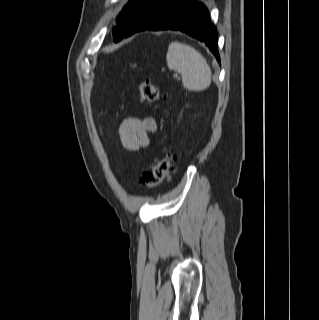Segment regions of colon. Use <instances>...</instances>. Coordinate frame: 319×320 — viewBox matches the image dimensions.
Here are the masks:
<instances>
[{
	"label": "colon",
	"mask_w": 319,
	"mask_h": 320,
	"mask_svg": "<svg viewBox=\"0 0 319 320\" xmlns=\"http://www.w3.org/2000/svg\"><path fill=\"white\" fill-rule=\"evenodd\" d=\"M140 97L143 101L155 102L161 99V93L157 84L151 79L143 80L139 85ZM175 162L170 156L155 159L143 172L141 184L146 187H155L170 179L175 171Z\"/></svg>",
	"instance_id": "obj_1"
}]
</instances>
